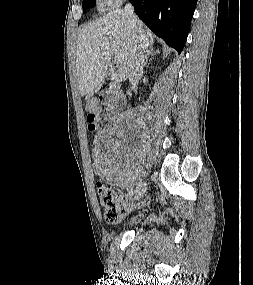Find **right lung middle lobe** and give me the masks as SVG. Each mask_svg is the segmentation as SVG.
<instances>
[{
	"label": "right lung middle lobe",
	"mask_w": 253,
	"mask_h": 285,
	"mask_svg": "<svg viewBox=\"0 0 253 285\" xmlns=\"http://www.w3.org/2000/svg\"><path fill=\"white\" fill-rule=\"evenodd\" d=\"M94 6H95L94 0H83L82 2L83 13H85L88 8H92Z\"/></svg>",
	"instance_id": "obj_1"
}]
</instances>
